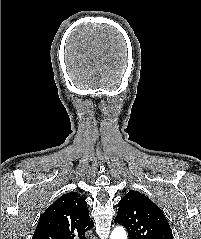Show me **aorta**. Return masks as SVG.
<instances>
[{
  "label": "aorta",
  "mask_w": 201,
  "mask_h": 239,
  "mask_svg": "<svg viewBox=\"0 0 201 239\" xmlns=\"http://www.w3.org/2000/svg\"><path fill=\"white\" fill-rule=\"evenodd\" d=\"M110 239H127V233L123 227L118 226L111 232Z\"/></svg>",
  "instance_id": "aorta-1"
}]
</instances>
